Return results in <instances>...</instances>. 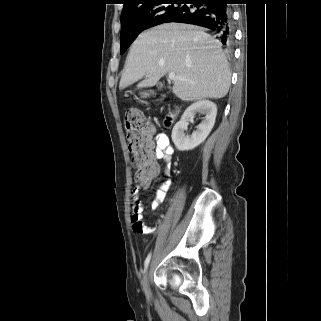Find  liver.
<instances>
[{
	"instance_id": "obj_1",
	"label": "liver",
	"mask_w": 321,
	"mask_h": 321,
	"mask_svg": "<svg viewBox=\"0 0 321 321\" xmlns=\"http://www.w3.org/2000/svg\"><path fill=\"white\" fill-rule=\"evenodd\" d=\"M167 73L174 80L172 92L183 101L223 98L231 73L220 43L199 27L165 23L153 27L134 41L128 53L119 88L145 77L139 88L153 87Z\"/></svg>"
}]
</instances>
